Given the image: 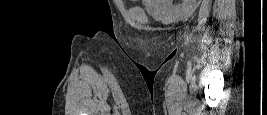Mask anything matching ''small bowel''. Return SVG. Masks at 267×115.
I'll return each mask as SVG.
<instances>
[{"instance_id":"1","label":"small bowel","mask_w":267,"mask_h":115,"mask_svg":"<svg viewBox=\"0 0 267 115\" xmlns=\"http://www.w3.org/2000/svg\"><path fill=\"white\" fill-rule=\"evenodd\" d=\"M143 5L148 13L165 19L185 18L196 8V2L174 4L168 0H144Z\"/></svg>"}]
</instances>
